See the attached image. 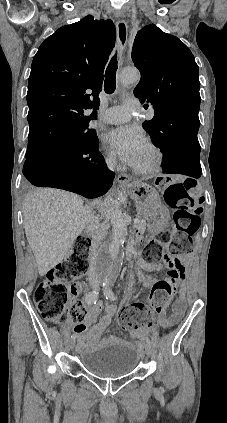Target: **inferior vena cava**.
I'll list each match as a JSON object with an SVG mask.
<instances>
[{
	"instance_id": "1",
	"label": "inferior vena cava",
	"mask_w": 227,
	"mask_h": 423,
	"mask_svg": "<svg viewBox=\"0 0 227 423\" xmlns=\"http://www.w3.org/2000/svg\"><path fill=\"white\" fill-rule=\"evenodd\" d=\"M106 164L110 170H113L114 166H117L116 156H114V154H110V156L106 158ZM99 219L100 217L95 215V211L90 210V208H86V223L90 229L92 237L90 245L91 259L88 269V279L90 283H96V281H98L95 259L97 257L98 247L100 243H102L104 235H106L105 223H97Z\"/></svg>"
}]
</instances>
